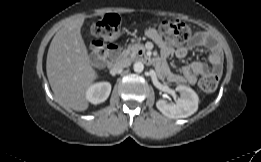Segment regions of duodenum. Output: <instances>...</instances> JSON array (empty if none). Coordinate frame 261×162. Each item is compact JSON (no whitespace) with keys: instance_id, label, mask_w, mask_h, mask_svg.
Here are the masks:
<instances>
[{"instance_id":"duodenum-1","label":"duodenum","mask_w":261,"mask_h":162,"mask_svg":"<svg viewBox=\"0 0 261 162\" xmlns=\"http://www.w3.org/2000/svg\"><path fill=\"white\" fill-rule=\"evenodd\" d=\"M106 57L109 58L110 63H111V68L115 69L114 64L116 62H118L119 60L122 59L121 57V52H120V48L119 45H115V44H110L107 48V55ZM148 62L158 66V65H162V64H158V61L156 60H148Z\"/></svg>"}]
</instances>
